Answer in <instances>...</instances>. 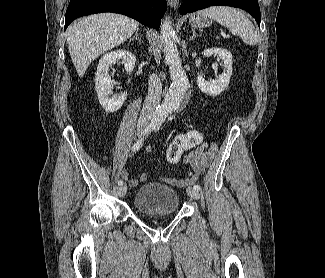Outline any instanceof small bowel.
<instances>
[{"label":"small bowel","instance_id":"1","mask_svg":"<svg viewBox=\"0 0 325 278\" xmlns=\"http://www.w3.org/2000/svg\"><path fill=\"white\" fill-rule=\"evenodd\" d=\"M188 133H190V131L185 134ZM193 148L194 149L184 157L185 164L190 166L187 178H168L167 181L169 183L177 186H185L187 184L196 182L199 174L202 173L211 164L217 153V145L214 142H207L202 140ZM150 151V146L145 147V152ZM120 175L122 178L128 181L131 187L137 186L139 182H145L148 178L147 174L145 173L141 174L139 179L129 178L128 171L125 168L120 171Z\"/></svg>","mask_w":325,"mask_h":278}]
</instances>
